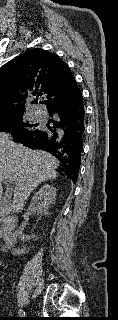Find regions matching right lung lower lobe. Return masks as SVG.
Here are the masks:
<instances>
[{"mask_svg":"<svg viewBox=\"0 0 118 320\" xmlns=\"http://www.w3.org/2000/svg\"><path fill=\"white\" fill-rule=\"evenodd\" d=\"M52 127L38 129L34 134L16 142L29 148L48 151L59 159L58 172L77 181L85 132V111L82 93L54 101L47 106Z\"/></svg>","mask_w":118,"mask_h":320,"instance_id":"right-lung-lower-lobe-1","label":"right lung lower lobe"}]
</instances>
